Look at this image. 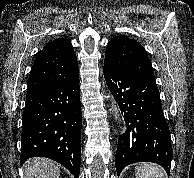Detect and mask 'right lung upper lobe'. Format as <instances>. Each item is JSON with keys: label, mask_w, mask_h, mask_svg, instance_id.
I'll return each mask as SVG.
<instances>
[{"label": "right lung upper lobe", "mask_w": 194, "mask_h": 178, "mask_svg": "<svg viewBox=\"0 0 194 178\" xmlns=\"http://www.w3.org/2000/svg\"><path fill=\"white\" fill-rule=\"evenodd\" d=\"M78 73L71 42L66 38L55 39L38 52L27 81V91L67 81Z\"/></svg>", "instance_id": "1"}]
</instances>
